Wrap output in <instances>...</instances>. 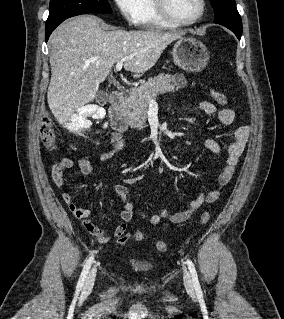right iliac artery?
<instances>
[{"mask_svg": "<svg viewBox=\"0 0 284 319\" xmlns=\"http://www.w3.org/2000/svg\"><path fill=\"white\" fill-rule=\"evenodd\" d=\"M94 260V254H92L89 259L87 260V262L84 265V268L81 272V275L79 277L78 283H77V287H76V292L79 293L84 285L85 279L88 275V272L90 270V267L92 265V262Z\"/></svg>", "mask_w": 284, "mask_h": 319, "instance_id": "obj_1", "label": "right iliac artery"}]
</instances>
